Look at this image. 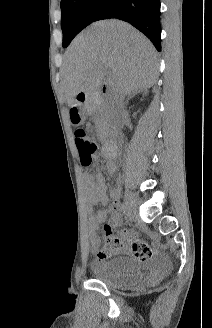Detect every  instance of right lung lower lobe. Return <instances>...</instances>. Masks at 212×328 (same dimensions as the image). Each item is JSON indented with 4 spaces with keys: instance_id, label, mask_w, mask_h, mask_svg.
I'll list each match as a JSON object with an SVG mask.
<instances>
[{
    "instance_id": "right-lung-lower-lobe-1",
    "label": "right lung lower lobe",
    "mask_w": 212,
    "mask_h": 328,
    "mask_svg": "<svg viewBox=\"0 0 212 328\" xmlns=\"http://www.w3.org/2000/svg\"><path fill=\"white\" fill-rule=\"evenodd\" d=\"M112 17L132 24L161 50L160 0H104L93 22Z\"/></svg>"
}]
</instances>
